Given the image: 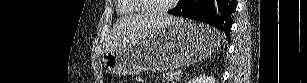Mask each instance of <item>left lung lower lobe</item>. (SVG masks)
Segmentation results:
<instances>
[{
  "label": "left lung lower lobe",
  "instance_id": "obj_1",
  "mask_svg": "<svg viewBox=\"0 0 307 83\" xmlns=\"http://www.w3.org/2000/svg\"><path fill=\"white\" fill-rule=\"evenodd\" d=\"M235 0H179L169 13L207 23L222 30L230 39Z\"/></svg>",
  "mask_w": 307,
  "mask_h": 83
}]
</instances>
